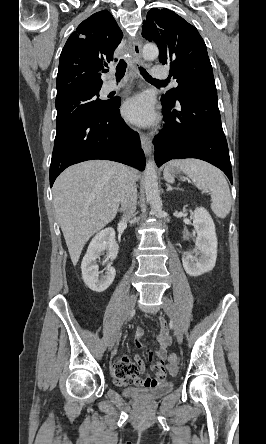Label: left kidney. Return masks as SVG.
Returning <instances> with one entry per match:
<instances>
[{"label": "left kidney", "mask_w": 266, "mask_h": 444, "mask_svg": "<svg viewBox=\"0 0 266 444\" xmlns=\"http://www.w3.org/2000/svg\"><path fill=\"white\" fill-rule=\"evenodd\" d=\"M193 226L197 232L196 246L194 251L184 253L182 263L186 273L196 277L214 268L217 258V236L215 224L203 207L195 209Z\"/></svg>", "instance_id": "1"}]
</instances>
